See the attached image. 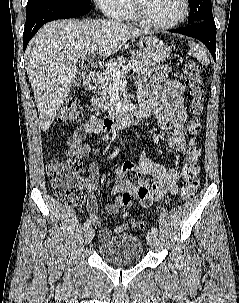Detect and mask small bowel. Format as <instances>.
Wrapping results in <instances>:
<instances>
[{"instance_id":"small-bowel-1","label":"small bowel","mask_w":239,"mask_h":303,"mask_svg":"<svg viewBox=\"0 0 239 303\" xmlns=\"http://www.w3.org/2000/svg\"><path fill=\"white\" fill-rule=\"evenodd\" d=\"M140 100L152 110L161 128L171 130L168 146L178 153H183L187 148V138L184 132L185 112L181 95L183 86L176 80H170L161 74L154 75L151 79L141 78L138 83ZM88 135H101L102 140L109 141V135L100 127V121L96 117L90 118L82 124L69 138L66 154L84 161L94 148L85 144ZM130 173H135L137 181H133ZM116 182L111 194L117 196L122 190H126L137 198L143 207H150L166 194L176 195L179 192V173L175 168H167L164 165L151 161L144 149L137 163L126 161L115 170ZM87 188L92 192L86 204V210L98 229L99 238L109 241L121 233L126 225L116 226L113 229L102 228L98 220V204L93 194L100 180V172L95 164L88 168ZM152 177V180L146 178ZM122 206L121 199L116 198L106 205L105 210L109 214L117 213Z\"/></svg>"}]
</instances>
